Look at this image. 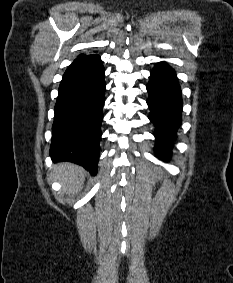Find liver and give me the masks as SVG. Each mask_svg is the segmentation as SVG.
Listing matches in <instances>:
<instances>
[{"label":"liver","instance_id":"obj_1","mask_svg":"<svg viewBox=\"0 0 233 283\" xmlns=\"http://www.w3.org/2000/svg\"><path fill=\"white\" fill-rule=\"evenodd\" d=\"M54 176L63 186L67 194L78 193L85 180V170L75 164L63 162L54 166Z\"/></svg>","mask_w":233,"mask_h":283}]
</instances>
